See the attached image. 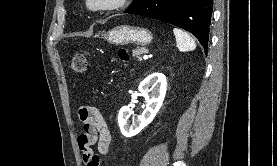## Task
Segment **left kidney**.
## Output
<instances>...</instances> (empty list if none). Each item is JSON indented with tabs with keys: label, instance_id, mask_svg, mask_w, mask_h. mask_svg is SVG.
I'll return each mask as SVG.
<instances>
[{
	"label": "left kidney",
	"instance_id": "left-kidney-1",
	"mask_svg": "<svg viewBox=\"0 0 277 166\" xmlns=\"http://www.w3.org/2000/svg\"><path fill=\"white\" fill-rule=\"evenodd\" d=\"M138 90L146 101V108L142 115L133 117L130 124L129 119L133 112L128 106L122 107L118 114L121 133L126 137L137 135L153 121L166 95V77L162 73H153L140 83Z\"/></svg>",
	"mask_w": 277,
	"mask_h": 166
}]
</instances>
